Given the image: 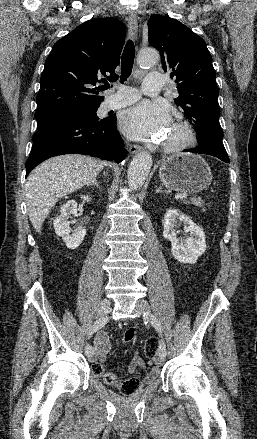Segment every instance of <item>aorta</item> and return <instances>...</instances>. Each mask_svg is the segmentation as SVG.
<instances>
[{
	"mask_svg": "<svg viewBox=\"0 0 257 439\" xmlns=\"http://www.w3.org/2000/svg\"><path fill=\"white\" fill-rule=\"evenodd\" d=\"M159 54L154 49H143L138 54V64L149 67L157 63ZM152 166V156L142 151L134 156L128 168V184L132 189H138L144 184Z\"/></svg>",
	"mask_w": 257,
	"mask_h": 439,
	"instance_id": "aorta-1",
	"label": "aorta"
}]
</instances>
